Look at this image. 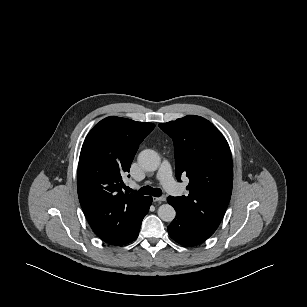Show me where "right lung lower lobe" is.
I'll return each instance as SVG.
<instances>
[{"mask_svg": "<svg viewBox=\"0 0 307 307\" xmlns=\"http://www.w3.org/2000/svg\"><path fill=\"white\" fill-rule=\"evenodd\" d=\"M151 203H152V198H151V197H148V200H147V212H148V210H149V207H150ZM146 214H147V213H146ZM139 230H140V228L138 229V231H137L135 237L133 238V240L136 239V237L138 236ZM133 240H132V241H133Z\"/></svg>", "mask_w": 307, "mask_h": 307, "instance_id": "98d812e1", "label": "right lung lower lobe"}]
</instances>
